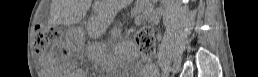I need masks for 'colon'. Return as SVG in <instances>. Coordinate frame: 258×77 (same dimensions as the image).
<instances>
[{
    "label": "colon",
    "instance_id": "5ec220e1",
    "mask_svg": "<svg viewBox=\"0 0 258 77\" xmlns=\"http://www.w3.org/2000/svg\"><path fill=\"white\" fill-rule=\"evenodd\" d=\"M35 36L36 46L39 50H43L49 43L59 37V33L45 24H38L35 28ZM135 42L143 58L152 57L156 47V36L151 28L145 27L138 31L135 36Z\"/></svg>",
    "mask_w": 258,
    "mask_h": 77
}]
</instances>
